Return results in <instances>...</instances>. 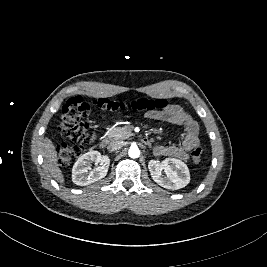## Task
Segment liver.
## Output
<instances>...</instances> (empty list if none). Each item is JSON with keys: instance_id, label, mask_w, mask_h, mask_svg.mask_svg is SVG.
<instances>
[{"instance_id": "6515ba94", "label": "liver", "mask_w": 267, "mask_h": 267, "mask_svg": "<svg viewBox=\"0 0 267 267\" xmlns=\"http://www.w3.org/2000/svg\"><path fill=\"white\" fill-rule=\"evenodd\" d=\"M42 155L44 157L45 168L49 171L52 177L59 183H64V176L61 169L58 167L57 151L49 138L43 140Z\"/></svg>"}]
</instances>
